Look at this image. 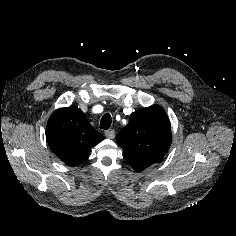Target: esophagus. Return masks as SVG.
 <instances>
[{"label":"esophagus","instance_id":"34e87169","mask_svg":"<svg viewBox=\"0 0 236 236\" xmlns=\"http://www.w3.org/2000/svg\"><path fill=\"white\" fill-rule=\"evenodd\" d=\"M105 136L109 139L115 138V131L114 130H107L105 131Z\"/></svg>","mask_w":236,"mask_h":236}]
</instances>
